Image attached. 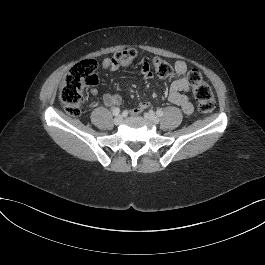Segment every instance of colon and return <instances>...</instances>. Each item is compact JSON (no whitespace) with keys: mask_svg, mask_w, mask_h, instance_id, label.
<instances>
[{"mask_svg":"<svg viewBox=\"0 0 265 265\" xmlns=\"http://www.w3.org/2000/svg\"><path fill=\"white\" fill-rule=\"evenodd\" d=\"M135 57L136 51L128 48L115 53L112 61L120 67H128L133 63ZM152 67L160 78L170 77L173 73L172 66L162 58H155ZM96 70V61L86 59L76 63L64 76L59 88V99L69 115L78 116L81 113L84 88L98 83ZM187 81L193 90L200 112L210 114L215 108V99L211 87L204 80L200 71L190 70Z\"/></svg>","mask_w":265,"mask_h":265,"instance_id":"colon-1","label":"colon"}]
</instances>
